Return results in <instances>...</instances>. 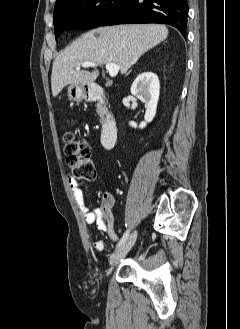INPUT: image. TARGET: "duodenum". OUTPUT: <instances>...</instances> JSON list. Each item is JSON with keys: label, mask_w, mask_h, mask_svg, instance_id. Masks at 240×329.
I'll return each instance as SVG.
<instances>
[{"label": "duodenum", "mask_w": 240, "mask_h": 329, "mask_svg": "<svg viewBox=\"0 0 240 329\" xmlns=\"http://www.w3.org/2000/svg\"><path fill=\"white\" fill-rule=\"evenodd\" d=\"M85 98L87 101L98 102L104 106L105 99L101 86L92 84L85 89ZM118 135L117 124L108 112L104 111V120L102 124L101 141L105 149H111L116 143Z\"/></svg>", "instance_id": "1"}]
</instances>
